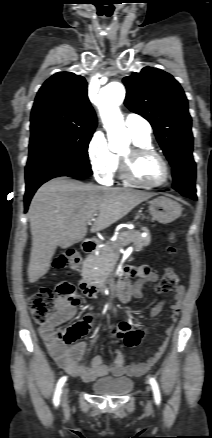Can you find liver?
<instances>
[{
	"mask_svg": "<svg viewBox=\"0 0 212 438\" xmlns=\"http://www.w3.org/2000/svg\"><path fill=\"white\" fill-rule=\"evenodd\" d=\"M155 194L124 188H106L65 177L43 184L30 207L32 247L28 266L30 283L45 275L58 246L68 248L86 236L87 224L97 218L91 232L103 230Z\"/></svg>",
	"mask_w": 212,
	"mask_h": 438,
	"instance_id": "1",
	"label": "liver"
}]
</instances>
